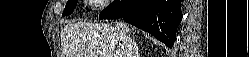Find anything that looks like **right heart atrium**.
I'll list each match as a JSON object with an SVG mask.
<instances>
[{
  "label": "right heart atrium",
  "mask_w": 249,
  "mask_h": 57,
  "mask_svg": "<svg viewBox=\"0 0 249 57\" xmlns=\"http://www.w3.org/2000/svg\"><path fill=\"white\" fill-rule=\"evenodd\" d=\"M93 4L96 5H104L106 2L105 1H99V0H95V1H91Z\"/></svg>",
  "instance_id": "d8ad5b80"
}]
</instances>
